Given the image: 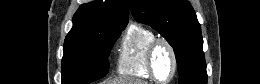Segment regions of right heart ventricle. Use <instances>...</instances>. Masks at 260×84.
<instances>
[{"mask_svg":"<svg viewBox=\"0 0 260 84\" xmlns=\"http://www.w3.org/2000/svg\"><path fill=\"white\" fill-rule=\"evenodd\" d=\"M156 35L149 28L132 23L127 28L117 57V72L121 75L149 80L147 50Z\"/></svg>","mask_w":260,"mask_h":84,"instance_id":"right-heart-ventricle-1","label":"right heart ventricle"}]
</instances>
